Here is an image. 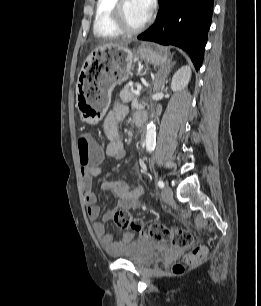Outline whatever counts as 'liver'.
<instances>
[{"mask_svg":"<svg viewBox=\"0 0 261 306\" xmlns=\"http://www.w3.org/2000/svg\"><path fill=\"white\" fill-rule=\"evenodd\" d=\"M128 45V42H112V43H105L101 47H125Z\"/></svg>","mask_w":261,"mask_h":306,"instance_id":"liver-1","label":"liver"}]
</instances>
